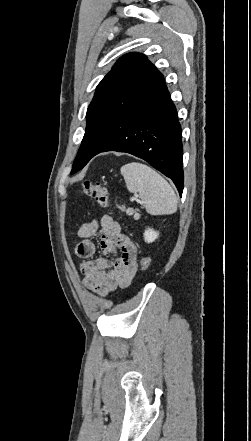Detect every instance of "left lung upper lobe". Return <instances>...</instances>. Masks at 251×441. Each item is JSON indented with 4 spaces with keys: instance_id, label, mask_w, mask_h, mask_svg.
I'll list each match as a JSON object with an SVG mask.
<instances>
[{
    "instance_id": "left-lung-upper-lobe-1",
    "label": "left lung upper lobe",
    "mask_w": 251,
    "mask_h": 441,
    "mask_svg": "<svg viewBox=\"0 0 251 441\" xmlns=\"http://www.w3.org/2000/svg\"><path fill=\"white\" fill-rule=\"evenodd\" d=\"M162 77V74L145 55L129 53L122 56L97 86L87 109L86 132L92 123L102 117L128 114L135 102ZM84 151L85 146L82 140L71 174L83 167L82 163L86 159Z\"/></svg>"
}]
</instances>
